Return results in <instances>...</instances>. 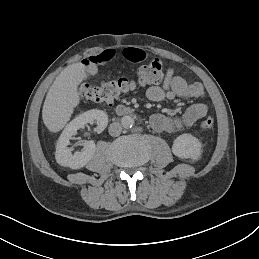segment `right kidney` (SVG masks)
Returning <instances> with one entry per match:
<instances>
[{
	"label": "right kidney",
	"mask_w": 259,
	"mask_h": 259,
	"mask_svg": "<svg viewBox=\"0 0 259 259\" xmlns=\"http://www.w3.org/2000/svg\"><path fill=\"white\" fill-rule=\"evenodd\" d=\"M94 121L97 123L95 131L101 133L108 124V116L102 110L92 109L80 114L66 125L56 145L55 158L58 164L72 169H79L91 160L95 153L94 141L84 142L82 151L74 154L71 153V148L68 145L72 136L76 135L77 130L84 128L87 123L93 124Z\"/></svg>",
	"instance_id": "obj_1"
}]
</instances>
